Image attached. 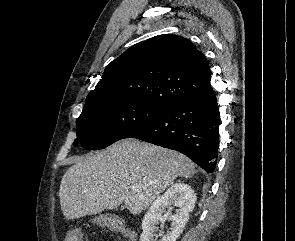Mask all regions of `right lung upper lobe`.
<instances>
[{"label":"right lung upper lobe","mask_w":295,"mask_h":241,"mask_svg":"<svg viewBox=\"0 0 295 241\" xmlns=\"http://www.w3.org/2000/svg\"><path fill=\"white\" fill-rule=\"evenodd\" d=\"M210 79L208 62L192 42L164 34L135 44L109 63L88 95L112 91L165 108L180 98L207 91Z\"/></svg>","instance_id":"1"}]
</instances>
